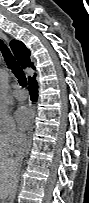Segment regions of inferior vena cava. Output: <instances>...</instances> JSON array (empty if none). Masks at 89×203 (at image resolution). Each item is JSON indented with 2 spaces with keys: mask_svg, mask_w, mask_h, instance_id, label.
<instances>
[{
  "mask_svg": "<svg viewBox=\"0 0 89 203\" xmlns=\"http://www.w3.org/2000/svg\"><path fill=\"white\" fill-rule=\"evenodd\" d=\"M18 143H19V150H18V152L16 154L15 160L20 162L23 159V157L25 155V152L27 151L28 143H27L26 137L25 136H20L18 138Z\"/></svg>",
  "mask_w": 89,
  "mask_h": 203,
  "instance_id": "obj_1",
  "label": "inferior vena cava"
}]
</instances>
